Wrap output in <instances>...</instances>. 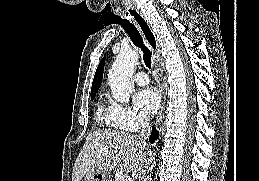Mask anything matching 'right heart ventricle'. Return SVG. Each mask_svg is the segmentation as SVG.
<instances>
[{
  "label": "right heart ventricle",
  "mask_w": 259,
  "mask_h": 181,
  "mask_svg": "<svg viewBox=\"0 0 259 181\" xmlns=\"http://www.w3.org/2000/svg\"><path fill=\"white\" fill-rule=\"evenodd\" d=\"M97 122L100 125H106L109 127H115L111 122H110V117L108 110L105 108L103 104H99L97 108ZM117 128V127H116Z\"/></svg>",
  "instance_id": "1"
}]
</instances>
